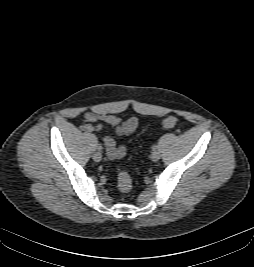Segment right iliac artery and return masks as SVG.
Wrapping results in <instances>:
<instances>
[{
  "instance_id": "1",
  "label": "right iliac artery",
  "mask_w": 254,
  "mask_h": 267,
  "mask_svg": "<svg viewBox=\"0 0 254 267\" xmlns=\"http://www.w3.org/2000/svg\"><path fill=\"white\" fill-rule=\"evenodd\" d=\"M102 148H103V147H102L101 144H98V145H97V149H98V150H102Z\"/></svg>"
}]
</instances>
